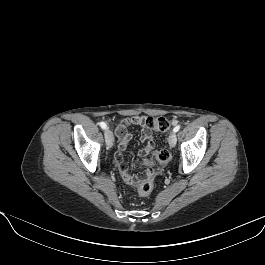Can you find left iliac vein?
Masks as SVG:
<instances>
[{
	"mask_svg": "<svg viewBox=\"0 0 265 265\" xmlns=\"http://www.w3.org/2000/svg\"><path fill=\"white\" fill-rule=\"evenodd\" d=\"M176 142H177L176 133L173 131L170 133V135L168 137V143H169L170 147H174L176 145Z\"/></svg>",
	"mask_w": 265,
	"mask_h": 265,
	"instance_id": "left-iliac-vein-1",
	"label": "left iliac vein"
}]
</instances>
